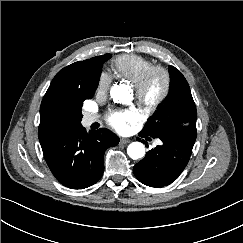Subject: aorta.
I'll use <instances>...</instances> for the list:
<instances>
[{"label": "aorta", "mask_w": 243, "mask_h": 243, "mask_svg": "<svg viewBox=\"0 0 243 243\" xmlns=\"http://www.w3.org/2000/svg\"><path fill=\"white\" fill-rule=\"evenodd\" d=\"M111 98L115 102H127L130 99V92L124 85H114L110 90ZM127 154L133 160L142 158L145 155V147L141 142H132L127 147Z\"/></svg>", "instance_id": "1"}]
</instances>
